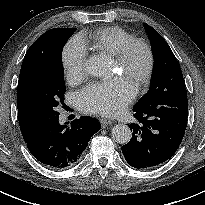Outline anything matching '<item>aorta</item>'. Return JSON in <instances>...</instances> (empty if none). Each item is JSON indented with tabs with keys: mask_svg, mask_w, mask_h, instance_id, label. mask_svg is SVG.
I'll return each mask as SVG.
<instances>
[{
	"mask_svg": "<svg viewBox=\"0 0 205 205\" xmlns=\"http://www.w3.org/2000/svg\"><path fill=\"white\" fill-rule=\"evenodd\" d=\"M86 71L94 77L109 76V63L104 56L93 55L86 61ZM111 135L115 142L119 144H126L130 141L132 132L127 125L117 124L113 127Z\"/></svg>",
	"mask_w": 205,
	"mask_h": 205,
	"instance_id": "aorta-1",
	"label": "aorta"
}]
</instances>
